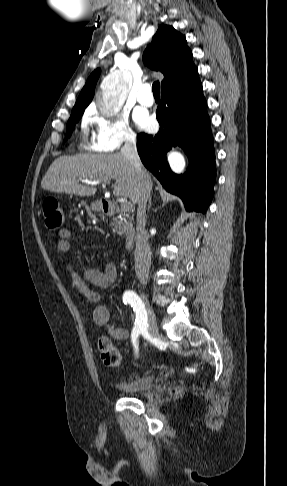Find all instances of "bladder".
I'll return each instance as SVG.
<instances>
[{
    "instance_id": "obj_1",
    "label": "bladder",
    "mask_w": 287,
    "mask_h": 486,
    "mask_svg": "<svg viewBox=\"0 0 287 486\" xmlns=\"http://www.w3.org/2000/svg\"><path fill=\"white\" fill-rule=\"evenodd\" d=\"M153 384L154 377L151 375H143L133 379L114 381L115 387L127 394L146 392L152 388Z\"/></svg>"
}]
</instances>
